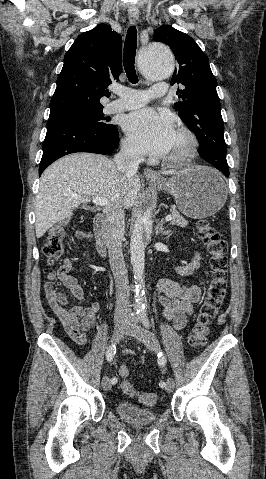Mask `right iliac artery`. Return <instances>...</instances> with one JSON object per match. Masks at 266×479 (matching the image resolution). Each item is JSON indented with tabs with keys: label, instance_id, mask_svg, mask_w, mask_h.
Listing matches in <instances>:
<instances>
[{
	"label": "right iliac artery",
	"instance_id": "82829eb1",
	"mask_svg": "<svg viewBox=\"0 0 266 479\" xmlns=\"http://www.w3.org/2000/svg\"><path fill=\"white\" fill-rule=\"evenodd\" d=\"M116 353V344H111L108 348H107V352H106V359L108 362H111L113 360V357ZM117 383V378L116 377H113L111 379V384H116Z\"/></svg>",
	"mask_w": 266,
	"mask_h": 479
}]
</instances>
